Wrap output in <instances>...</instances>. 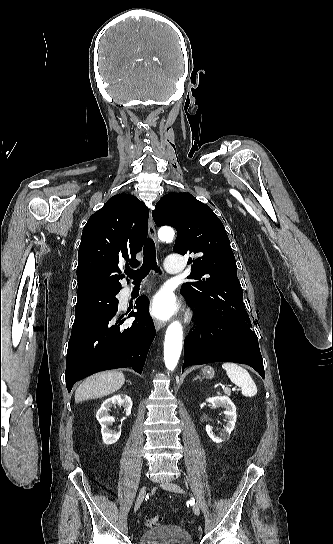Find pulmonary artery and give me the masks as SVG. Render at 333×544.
I'll return each instance as SVG.
<instances>
[{"instance_id": "obj_1", "label": "pulmonary artery", "mask_w": 333, "mask_h": 544, "mask_svg": "<svg viewBox=\"0 0 333 544\" xmlns=\"http://www.w3.org/2000/svg\"><path fill=\"white\" fill-rule=\"evenodd\" d=\"M165 268L168 273L177 274L183 270V259L179 255H170L166 259Z\"/></svg>"}]
</instances>
